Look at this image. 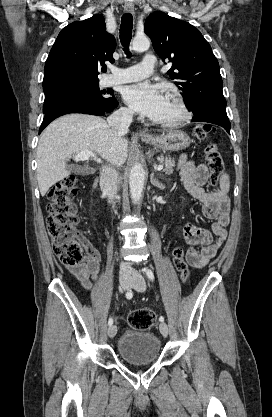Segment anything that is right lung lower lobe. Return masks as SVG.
<instances>
[{
    "mask_svg": "<svg viewBox=\"0 0 272 417\" xmlns=\"http://www.w3.org/2000/svg\"><path fill=\"white\" fill-rule=\"evenodd\" d=\"M118 106L115 97L106 103H92L87 101H69L55 106L53 109L45 113L44 120L40 126L39 133L54 119L69 113H83L92 115H104L112 112Z\"/></svg>",
    "mask_w": 272,
    "mask_h": 417,
    "instance_id": "98d812e1",
    "label": "right lung lower lobe"
}]
</instances>
